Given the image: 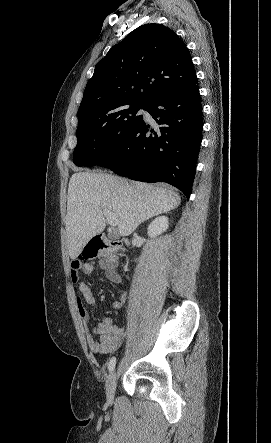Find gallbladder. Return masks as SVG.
<instances>
[{
  "label": "gallbladder",
  "mask_w": 271,
  "mask_h": 443,
  "mask_svg": "<svg viewBox=\"0 0 271 443\" xmlns=\"http://www.w3.org/2000/svg\"><path fill=\"white\" fill-rule=\"evenodd\" d=\"M108 237H110V239H116V237H118V233H108Z\"/></svg>",
  "instance_id": "obj_1"
}]
</instances>
